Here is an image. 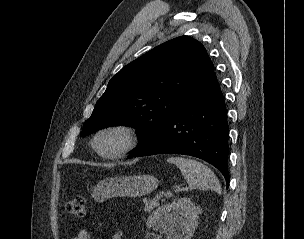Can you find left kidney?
Segmentation results:
<instances>
[{
	"mask_svg": "<svg viewBox=\"0 0 304 239\" xmlns=\"http://www.w3.org/2000/svg\"><path fill=\"white\" fill-rule=\"evenodd\" d=\"M199 213V208L190 198H178L154 211L146 224L148 228L162 230L167 234V239H191Z\"/></svg>",
	"mask_w": 304,
	"mask_h": 239,
	"instance_id": "obj_1",
	"label": "left kidney"
}]
</instances>
